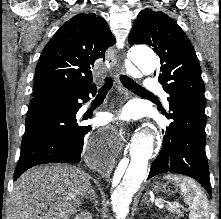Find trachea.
I'll use <instances>...</instances> for the list:
<instances>
[{"mask_svg": "<svg viewBox=\"0 0 221 219\" xmlns=\"http://www.w3.org/2000/svg\"><path fill=\"white\" fill-rule=\"evenodd\" d=\"M120 80L122 84L131 90L132 92L136 94H143V95H149L150 93L146 91L143 87H141L139 84H137L135 81H133L131 78H129L126 75H122L120 77ZM113 79L111 77H108L105 79L104 85L100 88V91L107 92L112 87Z\"/></svg>", "mask_w": 221, "mask_h": 219, "instance_id": "3493384b", "label": "trachea"}]
</instances>
